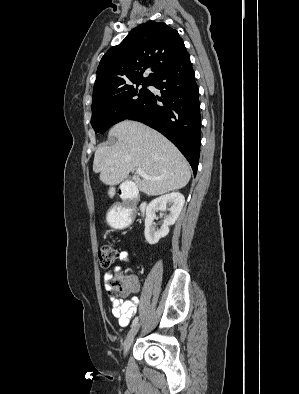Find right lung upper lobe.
<instances>
[{
	"label": "right lung upper lobe",
	"instance_id": "cb5924a9",
	"mask_svg": "<svg viewBox=\"0 0 299 394\" xmlns=\"http://www.w3.org/2000/svg\"><path fill=\"white\" fill-rule=\"evenodd\" d=\"M186 54L184 42L176 30L163 22L141 24L102 57L93 94L132 83L152 82ZM147 69L152 73L144 78Z\"/></svg>",
	"mask_w": 299,
	"mask_h": 394
}]
</instances>
